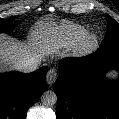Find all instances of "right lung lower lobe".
<instances>
[{
  "label": "right lung lower lobe",
  "instance_id": "1",
  "mask_svg": "<svg viewBox=\"0 0 119 119\" xmlns=\"http://www.w3.org/2000/svg\"><path fill=\"white\" fill-rule=\"evenodd\" d=\"M47 67L32 73L0 74V119H26V113L47 88Z\"/></svg>",
  "mask_w": 119,
  "mask_h": 119
}]
</instances>
